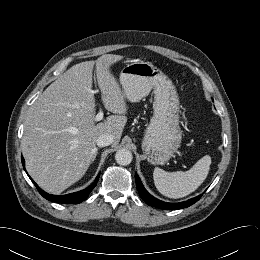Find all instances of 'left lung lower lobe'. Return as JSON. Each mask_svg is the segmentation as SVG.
<instances>
[{
	"label": "left lung lower lobe",
	"mask_w": 260,
	"mask_h": 260,
	"mask_svg": "<svg viewBox=\"0 0 260 260\" xmlns=\"http://www.w3.org/2000/svg\"><path fill=\"white\" fill-rule=\"evenodd\" d=\"M135 180H136V186H137V190L141 196V198L148 204L151 205L153 207H157L160 209H165V210H177V209H182L185 207H189L190 205L194 204L195 202H197L200 197L202 195H199L195 198L189 199L185 202H180V203H167V202H163L160 201L158 199H156L155 197H153L152 195H150L146 189L144 188V186L141 183V180L139 178V176L135 173Z\"/></svg>",
	"instance_id": "obj_1"
}]
</instances>
